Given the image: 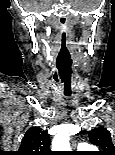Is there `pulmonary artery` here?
Segmentation results:
<instances>
[{
    "mask_svg": "<svg viewBox=\"0 0 115 155\" xmlns=\"http://www.w3.org/2000/svg\"><path fill=\"white\" fill-rule=\"evenodd\" d=\"M78 148L81 150L91 149L92 147L86 143H79Z\"/></svg>",
    "mask_w": 115,
    "mask_h": 155,
    "instance_id": "pulmonary-artery-1",
    "label": "pulmonary artery"
}]
</instances>
